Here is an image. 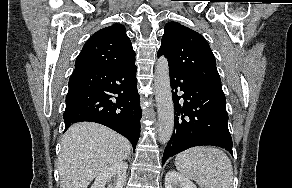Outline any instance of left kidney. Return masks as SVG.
<instances>
[{
    "label": "left kidney",
    "instance_id": "left-kidney-1",
    "mask_svg": "<svg viewBox=\"0 0 292 188\" xmlns=\"http://www.w3.org/2000/svg\"><path fill=\"white\" fill-rule=\"evenodd\" d=\"M165 188H197L188 178L171 170L165 176Z\"/></svg>",
    "mask_w": 292,
    "mask_h": 188
}]
</instances>
